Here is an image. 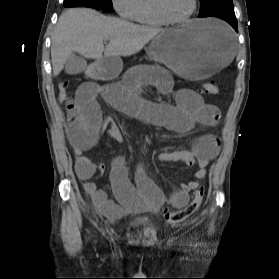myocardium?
<instances>
[{
	"mask_svg": "<svg viewBox=\"0 0 279 279\" xmlns=\"http://www.w3.org/2000/svg\"><path fill=\"white\" fill-rule=\"evenodd\" d=\"M154 3H155V7H156V10H157L159 16L166 23H169V24H182V23L189 21L195 15V13L198 9V0H193V6L187 15L180 17V18H174L166 10L164 0H154Z\"/></svg>",
	"mask_w": 279,
	"mask_h": 279,
	"instance_id": "myocardium-1",
	"label": "myocardium"
}]
</instances>
